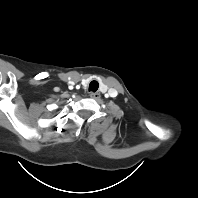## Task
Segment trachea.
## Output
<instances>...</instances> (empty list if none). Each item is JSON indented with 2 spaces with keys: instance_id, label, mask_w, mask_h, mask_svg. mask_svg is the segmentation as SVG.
Instances as JSON below:
<instances>
[{
  "instance_id": "1",
  "label": "trachea",
  "mask_w": 198,
  "mask_h": 198,
  "mask_svg": "<svg viewBox=\"0 0 198 198\" xmlns=\"http://www.w3.org/2000/svg\"><path fill=\"white\" fill-rule=\"evenodd\" d=\"M99 83L97 81H91L89 84V91L96 92L98 90Z\"/></svg>"
}]
</instances>
